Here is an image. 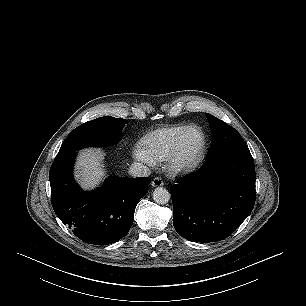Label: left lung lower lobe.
Wrapping results in <instances>:
<instances>
[{"instance_id":"left-lung-lower-lobe-1","label":"left lung lower lobe","mask_w":306,"mask_h":306,"mask_svg":"<svg viewBox=\"0 0 306 306\" xmlns=\"http://www.w3.org/2000/svg\"><path fill=\"white\" fill-rule=\"evenodd\" d=\"M255 166L249 149L223 152L172 186L173 225L189 241L231 235L255 204Z\"/></svg>"}]
</instances>
